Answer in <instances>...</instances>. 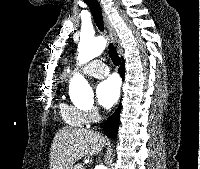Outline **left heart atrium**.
<instances>
[{"mask_svg": "<svg viewBox=\"0 0 200 169\" xmlns=\"http://www.w3.org/2000/svg\"><path fill=\"white\" fill-rule=\"evenodd\" d=\"M97 99L104 108L112 107L120 95V81L116 76H111L100 82L96 90Z\"/></svg>", "mask_w": 200, "mask_h": 169, "instance_id": "left-heart-atrium-1", "label": "left heart atrium"}]
</instances>
